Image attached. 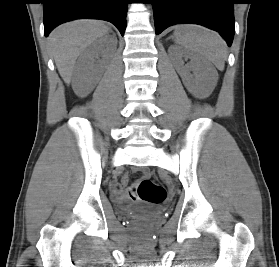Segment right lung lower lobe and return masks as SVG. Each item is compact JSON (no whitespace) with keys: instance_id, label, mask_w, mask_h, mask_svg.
<instances>
[{"instance_id":"right-lung-lower-lobe-1","label":"right lung lower lobe","mask_w":279,"mask_h":267,"mask_svg":"<svg viewBox=\"0 0 279 267\" xmlns=\"http://www.w3.org/2000/svg\"><path fill=\"white\" fill-rule=\"evenodd\" d=\"M44 34L59 24L78 18H94L113 23L124 35L128 0H43Z\"/></svg>"}]
</instances>
